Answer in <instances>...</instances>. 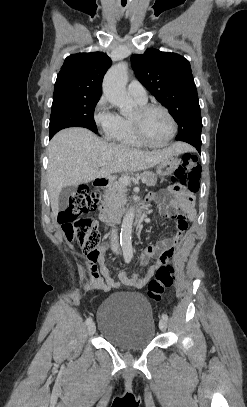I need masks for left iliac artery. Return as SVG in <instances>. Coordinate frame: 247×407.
Here are the masks:
<instances>
[{
	"label": "left iliac artery",
	"instance_id": "1",
	"mask_svg": "<svg viewBox=\"0 0 247 407\" xmlns=\"http://www.w3.org/2000/svg\"><path fill=\"white\" fill-rule=\"evenodd\" d=\"M162 319H164L165 321L168 320V316L166 314H162Z\"/></svg>",
	"mask_w": 247,
	"mask_h": 407
}]
</instances>
